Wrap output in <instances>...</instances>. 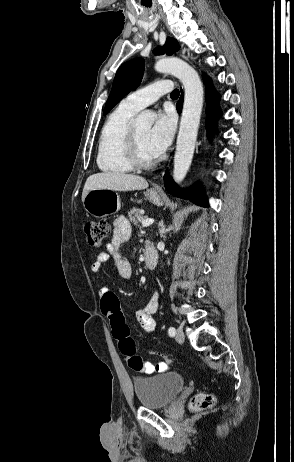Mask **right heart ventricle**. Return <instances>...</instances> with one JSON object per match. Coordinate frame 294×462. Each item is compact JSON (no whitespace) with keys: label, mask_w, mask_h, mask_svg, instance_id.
Here are the masks:
<instances>
[{"label":"right heart ventricle","mask_w":294,"mask_h":462,"mask_svg":"<svg viewBox=\"0 0 294 462\" xmlns=\"http://www.w3.org/2000/svg\"><path fill=\"white\" fill-rule=\"evenodd\" d=\"M137 111L122 103L108 116L100 134L97 165L104 173L123 174L132 171L126 158V136Z\"/></svg>","instance_id":"obj_1"}]
</instances>
